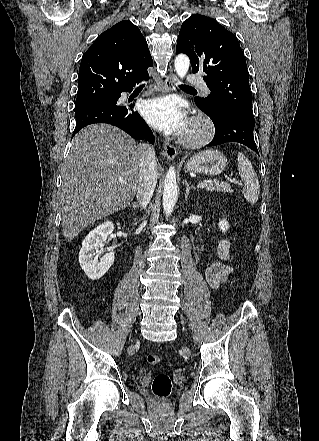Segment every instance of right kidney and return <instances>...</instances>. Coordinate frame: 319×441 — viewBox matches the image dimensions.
I'll list each match as a JSON object with an SVG mask.
<instances>
[{"label":"right kidney","instance_id":"1","mask_svg":"<svg viewBox=\"0 0 319 441\" xmlns=\"http://www.w3.org/2000/svg\"><path fill=\"white\" fill-rule=\"evenodd\" d=\"M112 222H104L91 230L82 242L79 252V263L85 274L91 280L100 279L112 266L114 252L106 253L98 262V255L103 251L107 238L113 232Z\"/></svg>","mask_w":319,"mask_h":441}]
</instances>
